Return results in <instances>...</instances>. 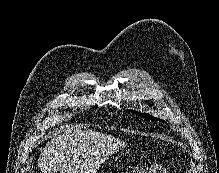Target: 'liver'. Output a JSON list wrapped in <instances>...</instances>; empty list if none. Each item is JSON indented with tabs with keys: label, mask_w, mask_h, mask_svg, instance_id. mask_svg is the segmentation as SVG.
Returning a JSON list of instances; mask_svg holds the SVG:
<instances>
[{
	"label": "liver",
	"mask_w": 219,
	"mask_h": 173,
	"mask_svg": "<svg viewBox=\"0 0 219 173\" xmlns=\"http://www.w3.org/2000/svg\"><path fill=\"white\" fill-rule=\"evenodd\" d=\"M125 142L110 135L68 126L41 150L38 168L43 173H96Z\"/></svg>",
	"instance_id": "obj_1"
}]
</instances>
